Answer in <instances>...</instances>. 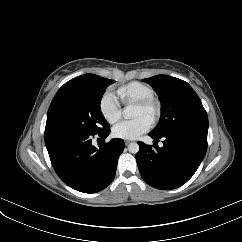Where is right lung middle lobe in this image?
<instances>
[{
  "label": "right lung middle lobe",
  "instance_id": "dd1d6c3e",
  "mask_svg": "<svg viewBox=\"0 0 242 242\" xmlns=\"http://www.w3.org/2000/svg\"><path fill=\"white\" fill-rule=\"evenodd\" d=\"M115 81L100 76L89 82L65 83L54 96L48 113L45 134L65 129H81L101 134L110 129L100 102L108 85Z\"/></svg>",
  "mask_w": 242,
  "mask_h": 242
}]
</instances>
